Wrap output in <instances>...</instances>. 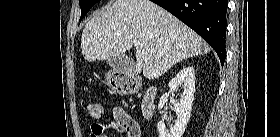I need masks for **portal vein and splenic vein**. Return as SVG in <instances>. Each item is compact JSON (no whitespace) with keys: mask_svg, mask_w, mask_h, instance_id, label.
Returning <instances> with one entry per match:
<instances>
[{"mask_svg":"<svg viewBox=\"0 0 280 137\" xmlns=\"http://www.w3.org/2000/svg\"><path fill=\"white\" fill-rule=\"evenodd\" d=\"M134 45L137 47V46H138V43H134Z\"/></svg>","mask_w":280,"mask_h":137,"instance_id":"portal-vein-and-splenic-vein-1","label":"portal vein and splenic vein"}]
</instances>
